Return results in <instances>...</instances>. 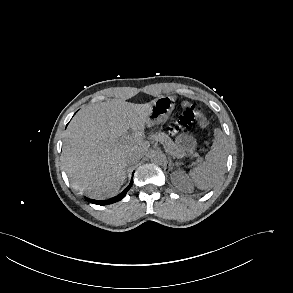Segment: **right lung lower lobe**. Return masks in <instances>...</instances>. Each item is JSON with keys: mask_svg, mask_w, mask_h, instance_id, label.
Listing matches in <instances>:
<instances>
[{"mask_svg": "<svg viewBox=\"0 0 293 293\" xmlns=\"http://www.w3.org/2000/svg\"><path fill=\"white\" fill-rule=\"evenodd\" d=\"M132 183H133V179H131L130 184L128 185V187L123 192H121L119 195H117V196H115V197H113L111 199H108V200H92V199L87 198V200L89 202L97 204V205H107V204L115 203V202L120 201L121 199H123L125 197L127 191L131 188Z\"/></svg>", "mask_w": 293, "mask_h": 293, "instance_id": "obj_1", "label": "right lung lower lobe"}]
</instances>
